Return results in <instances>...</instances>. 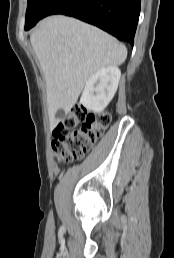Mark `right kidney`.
<instances>
[{"mask_svg":"<svg viewBox=\"0 0 174 258\" xmlns=\"http://www.w3.org/2000/svg\"><path fill=\"white\" fill-rule=\"evenodd\" d=\"M121 71L108 66L94 73L86 82L80 103L89 111L101 112L115 95Z\"/></svg>","mask_w":174,"mask_h":258,"instance_id":"obj_1","label":"right kidney"}]
</instances>
